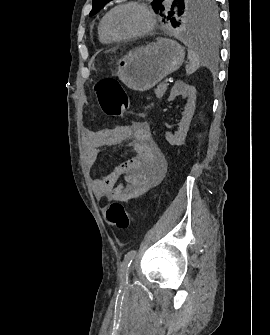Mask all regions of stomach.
<instances>
[{
  "label": "stomach",
  "instance_id": "obj_1",
  "mask_svg": "<svg viewBox=\"0 0 270 335\" xmlns=\"http://www.w3.org/2000/svg\"><path fill=\"white\" fill-rule=\"evenodd\" d=\"M184 62L183 46L170 38L133 48L118 60L119 80L136 92H146L168 74L176 72Z\"/></svg>",
  "mask_w": 270,
  "mask_h": 335
}]
</instances>
